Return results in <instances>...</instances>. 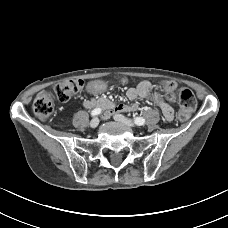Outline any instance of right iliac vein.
<instances>
[{
  "mask_svg": "<svg viewBox=\"0 0 228 228\" xmlns=\"http://www.w3.org/2000/svg\"><path fill=\"white\" fill-rule=\"evenodd\" d=\"M99 124V119L98 118H93L91 121H90V127L91 128H96Z\"/></svg>",
  "mask_w": 228,
  "mask_h": 228,
  "instance_id": "63e3f726",
  "label": "right iliac vein"
}]
</instances>
